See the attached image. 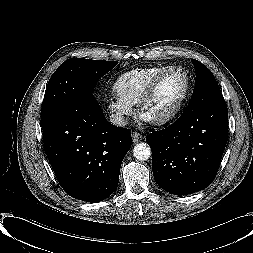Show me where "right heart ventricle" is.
Listing matches in <instances>:
<instances>
[{
  "mask_svg": "<svg viewBox=\"0 0 253 253\" xmlns=\"http://www.w3.org/2000/svg\"><path fill=\"white\" fill-rule=\"evenodd\" d=\"M169 67L171 66L145 67L121 74L114 84L117 97L131 106L137 104L150 82Z\"/></svg>",
  "mask_w": 253,
  "mask_h": 253,
  "instance_id": "right-heart-ventricle-1",
  "label": "right heart ventricle"
}]
</instances>
